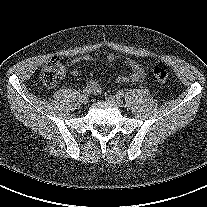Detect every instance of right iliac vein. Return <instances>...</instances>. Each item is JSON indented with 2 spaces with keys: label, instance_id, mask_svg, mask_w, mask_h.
I'll return each mask as SVG.
<instances>
[{
  "label": "right iliac vein",
  "instance_id": "right-iliac-vein-1",
  "mask_svg": "<svg viewBox=\"0 0 207 207\" xmlns=\"http://www.w3.org/2000/svg\"><path fill=\"white\" fill-rule=\"evenodd\" d=\"M81 102H82L83 104H87V103L89 102V98H88V96L83 94V95L81 96Z\"/></svg>",
  "mask_w": 207,
  "mask_h": 207
}]
</instances>
